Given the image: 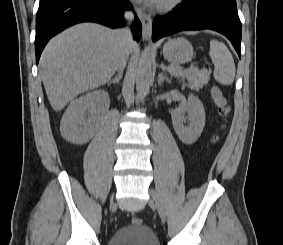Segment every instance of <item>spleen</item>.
<instances>
[{
  "label": "spleen",
  "instance_id": "3e777b00",
  "mask_svg": "<svg viewBox=\"0 0 283 245\" xmlns=\"http://www.w3.org/2000/svg\"><path fill=\"white\" fill-rule=\"evenodd\" d=\"M209 55L214 64V78L223 85H231L235 77V64L227 46L217 40L210 41Z\"/></svg>",
  "mask_w": 283,
  "mask_h": 245
}]
</instances>
